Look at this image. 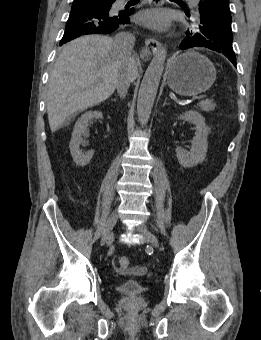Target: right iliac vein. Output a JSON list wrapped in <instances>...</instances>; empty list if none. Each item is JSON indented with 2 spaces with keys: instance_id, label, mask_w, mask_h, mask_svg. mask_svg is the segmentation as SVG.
<instances>
[{
  "instance_id": "obj_1",
  "label": "right iliac vein",
  "mask_w": 261,
  "mask_h": 340,
  "mask_svg": "<svg viewBox=\"0 0 261 340\" xmlns=\"http://www.w3.org/2000/svg\"><path fill=\"white\" fill-rule=\"evenodd\" d=\"M117 219L118 216L116 213H112L106 223L101 241H100V246H104L106 244H109L113 241V234H112V230L114 228V226L117 223Z\"/></svg>"
}]
</instances>
